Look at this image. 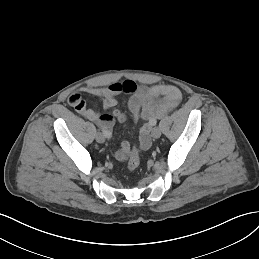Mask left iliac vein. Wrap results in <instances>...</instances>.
Segmentation results:
<instances>
[{"mask_svg": "<svg viewBox=\"0 0 259 259\" xmlns=\"http://www.w3.org/2000/svg\"><path fill=\"white\" fill-rule=\"evenodd\" d=\"M152 136L154 138H159L161 136V130L158 127L153 128L152 130Z\"/></svg>", "mask_w": 259, "mask_h": 259, "instance_id": "4c4485c4", "label": "left iliac vein"}]
</instances>
